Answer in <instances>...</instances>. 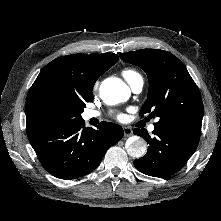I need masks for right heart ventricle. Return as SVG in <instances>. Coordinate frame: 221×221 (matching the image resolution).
Segmentation results:
<instances>
[{"instance_id": "obj_1", "label": "right heart ventricle", "mask_w": 221, "mask_h": 221, "mask_svg": "<svg viewBox=\"0 0 221 221\" xmlns=\"http://www.w3.org/2000/svg\"><path fill=\"white\" fill-rule=\"evenodd\" d=\"M123 77L129 82H133L137 78L141 77L140 74L133 69H125L122 72Z\"/></svg>"}]
</instances>
